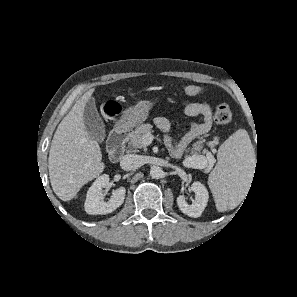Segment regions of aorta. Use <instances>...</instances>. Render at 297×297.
Listing matches in <instances>:
<instances>
[{
  "mask_svg": "<svg viewBox=\"0 0 297 297\" xmlns=\"http://www.w3.org/2000/svg\"><path fill=\"white\" fill-rule=\"evenodd\" d=\"M150 176L153 179H159L163 176V170L159 166H152L150 169Z\"/></svg>",
  "mask_w": 297,
  "mask_h": 297,
  "instance_id": "aorta-1",
  "label": "aorta"
}]
</instances>
